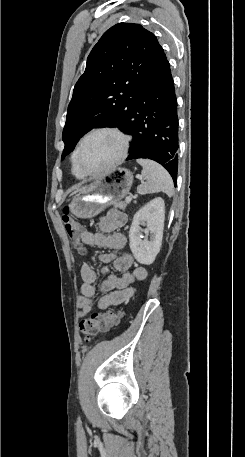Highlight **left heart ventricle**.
<instances>
[{
    "label": "left heart ventricle",
    "mask_w": 245,
    "mask_h": 457,
    "mask_svg": "<svg viewBox=\"0 0 245 457\" xmlns=\"http://www.w3.org/2000/svg\"><path fill=\"white\" fill-rule=\"evenodd\" d=\"M120 139L111 133H98L91 136L81 153V163L91 172L109 165L118 155Z\"/></svg>",
    "instance_id": "1"
}]
</instances>
